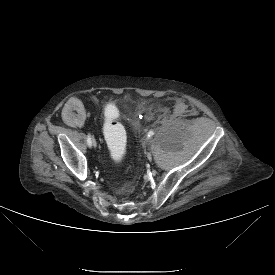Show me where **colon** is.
<instances>
[{"label":"colon","mask_w":275,"mask_h":275,"mask_svg":"<svg viewBox=\"0 0 275 275\" xmlns=\"http://www.w3.org/2000/svg\"><path fill=\"white\" fill-rule=\"evenodd\" d=\"M114 117L115 115L110 112L109 119L104 124V133L111 156L118 159L125 150L126 140L123 128Z\"/></svg>","instance_id":"obj_1"}]
</instances>
